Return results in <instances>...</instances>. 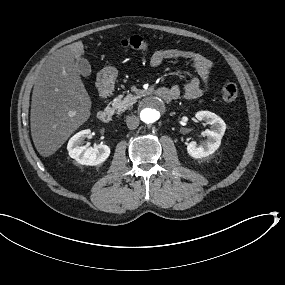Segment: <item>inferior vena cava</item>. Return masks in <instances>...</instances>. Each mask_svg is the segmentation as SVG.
Returning a JSON list of instances; mask_svg holds the SVG:
<instances>
[{"instance_id":"602c4592","label":"inferior vena cava","mask_w":285,"mask_h":285,"mask_svg":"<svg viewBox=\"0 0 285 285\" xmlns=\"http://www.w3.org/2000/svg\"><path fill=\"white\" fill-rule=\"evenodd\" d=\"M126 124L130 130H134L139 126V118L135 115L127 116Z\"/></svg>"}]
</instances>
